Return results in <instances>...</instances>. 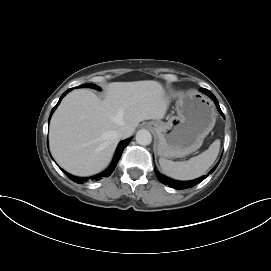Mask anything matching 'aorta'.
<instances>
[{"mask_svg":"<svg viewBox=\"0 0 271 271\" xmlns=\"http://www.w3.org/2000/svg\"><path fill=\"white\" fill-rule=\"evenodd\" d=\"M136 141L140 145H149L152 142L151 133L146 129H141L136 133Z\"/></svg>","mask_w":271,"mask_h":271,"instance_id":"1","label":"aorta"}]
</instances>
